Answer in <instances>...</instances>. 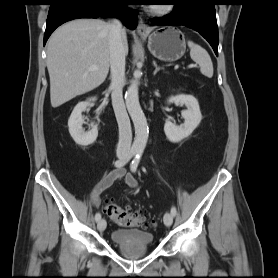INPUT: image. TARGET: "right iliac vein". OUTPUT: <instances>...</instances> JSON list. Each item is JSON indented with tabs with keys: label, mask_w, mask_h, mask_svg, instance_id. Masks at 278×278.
<instances>
[{
	"label": "right iliac vein",
	"mask_w": 278,
	"mask_h": 278,
	"mask_svg": "<svg viewBox=\"0 0 278 278\" xmlns=\"http://www.w3.org/2000/svg\"><path fill=\"white\" fill-rule=\"evenodd\" d=\"M124 157H125L124 154L119 155V158H121V159L124 158ZM97 228H98L99 231H104L105 228H106V221L104 219H100L97 223Z\"/></svg>",
	"instance_id": "obj_1"
}]
</instances>
